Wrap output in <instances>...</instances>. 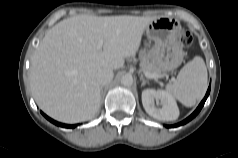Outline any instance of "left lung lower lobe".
Listing matches in <instances>:
<instances>
[{
    "label": "left lung lower lobe",
    "instance_id": "left-lung-lower-lobe-1",
    "mask_svg": "<svg viewBox=\"0 0 238 158\" xmlns=\"http://www.w3.org/2000/svg\"><path fill=\"white\" fill-rule=\"evenodd\" d=\"M209 93H210V86H209V88H208V90H207V93H206L204 99L202 100V102L199 104V106L197 107V109H196L188 118H186L184 121H182V122H180V123H178V124L171 125V126H167V127H168V128H170V127H178V126H180V125H183V124L189 122L191 119H193V118L200 112V110H201V108L203 107V105H204V103H205V101H206V99H207Z\"/></svg>",
    "mask_w": 238,
    "mask_h": 158
}]
</instances>
